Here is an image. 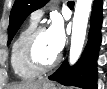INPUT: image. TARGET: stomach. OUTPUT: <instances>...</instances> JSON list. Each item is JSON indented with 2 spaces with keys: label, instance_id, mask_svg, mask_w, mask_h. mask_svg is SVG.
<instances>
[{
  "label": "stomach",
  "instance_id": "1",
  "mask_svg": "<svg viewBox=\"0 0 107 89\" xmlns=\"http://www.w3.org/2000/svg\"><path fill=\"white\" fill-rule=\"evenodd\" d=\"M40 89H58V87L52 83L46 84L45 86H42Z\"/></svg>",
  "mask_w": 107,
  "mask_h": 89
}]
</instances>
